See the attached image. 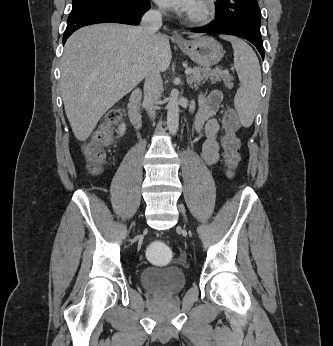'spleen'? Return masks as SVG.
<instances>
[{
	"instance_id": "obj_1",
	"label": "spleen",
	"mask_w": 333,
	"mask_h": 346,
	"mask_svg": "<svg viewBox=\"0 0 333 346\" xmlns=\"http://www.w3.org/2000/svg\"><path fill=\"white\" fill-rule=\"evenodd\" d=\"M234 50V67L241 86L234 98V106L245 127H249L255 118L260 101L261 68L253 49L243 40L224 36Z\"/></svg>"
}]
</instances>
